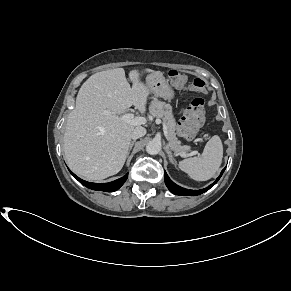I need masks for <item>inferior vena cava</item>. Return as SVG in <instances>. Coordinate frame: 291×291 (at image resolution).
Segmentation results:
<instances>
[{"label": "inferior vena cava", "mask_w": 291, "mask_h": 291, "mask_svg": "<svg viewBox=\"0 0 291 291\" xmlns=\"http://www.w3.org/2000/svg\"><path fill=\"white\" fill-rule=\"evenodd\" d=\"M146 134V129L143 127H136L132 133H131V138L132 139H138L140 137H143Z\"/></svg>", "instance_id": "602c4592"}]
</instances>
